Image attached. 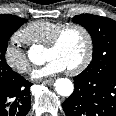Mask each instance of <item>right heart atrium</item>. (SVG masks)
<instances>
[{
  "mask_svg": "<svg viewBox=\"0 0 116 116\" xmlns=\"http://www.w3.org/2000/svg\"><path fill=\"white\" fill-rule=\"evenodd\" d=\"M23 39L16 33L4 48L3 58L6 65L18 74H25L31 70V62L22 47Z\"/></svg>",
  "mask_w": 116,
  "mask_h": 116,
  "instance_id": "1",
  "label": "right heart atrium"
}]
</instances>
